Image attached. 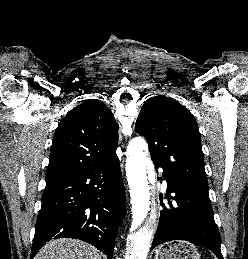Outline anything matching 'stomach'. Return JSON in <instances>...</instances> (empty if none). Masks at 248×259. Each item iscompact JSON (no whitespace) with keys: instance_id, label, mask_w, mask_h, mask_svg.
<instances>
[{"instance_id":"1","label":"stomach","mask_w":248,"mask_h":259,"mask_svg":"<svg viewBox=\"0 0 248 259\" xmlns=\"http://www.w3.org/2000/svg\"><path fill=\"white\" fill-rule=\"evenodd\" d=\"M154 259H200V254L193 244L177 241L158 247Z\"/></svg>"}]
</instances>
